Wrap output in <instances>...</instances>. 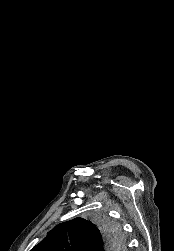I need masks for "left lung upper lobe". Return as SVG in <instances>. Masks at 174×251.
I'll return each mask as SVG.
<instances>
[{
    "label": "left lung upper lobe",
    "mask_w": 174,
    "mask_h": 251,
    "mask_svg": "<svg viewBox=\"0 0 174 251\" xmlns=\"http://www.w3.org/2000/svg\"><path fill=\"white\" fill-rule=\"evenodd\" d=\"M125 239L118 226L106 220L83 218L58 224L31 251H122Z\"/></svg>",
    "instance_id": "left-lung-upper-lobe-1"
}]
</instances>
